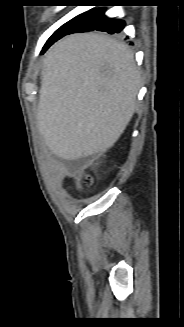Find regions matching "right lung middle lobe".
<instances>
[{"label":"right lung middle lobe","instance_id":"dd1d6c3e","mask_svg":"<svg viewBox=\"0 0 184 327\" xmlns=\"http://www.w3.org/2000/svg\"><path fill=\"white\" fill-rule=\"evenodd\" d=\"M86 13V12H85ZM85 13H82L72 20L68 21L64 25H62L58 30H56L53 35L47 40L46 44L44 45L41 54H43L49 46H51L55 41L60 39L61 37L65 36L69 31H71L84 17Z\"/></svg>","mask_w":184,"mask_h":327}]
</instances>
